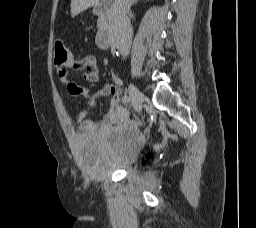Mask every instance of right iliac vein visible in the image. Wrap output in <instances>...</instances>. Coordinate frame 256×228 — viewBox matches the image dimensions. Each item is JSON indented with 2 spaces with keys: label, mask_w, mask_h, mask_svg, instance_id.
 Wrapping results in <instances>:
<instances>
[{
  "label": "right iliac vein",
  "mask_w": 256,
  "mask_h": 228,
  "mask_svg": "<svg viewBox=\"0 0 256 228\" xmlns=\"http://www.w3.org/2000/svg\"><path fill=\"white\" fill-rule=\"evenodd\" d=\"M128 92H129V95L132 100V104H133L134 108L136 109V111L140 112L142 110V105H143V101H144L143 94L132 83L128 87Z\"/></svg>",
  "instance_id": "right-iliac-vein-1"
}]
</instances>
